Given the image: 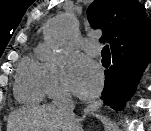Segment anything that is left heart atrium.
Listing matches in <instances>:
<instances>
[{
	"label": "left heart atrium",
	"instance_id": "39dd6f15",
	"mask_svg": "<svg viewBox=\"0 0 151 131\" xmlns=\"http://www.w3.org/2000/svg\"><path fill=\"white\" fill-rule=\"evenodd\" d=\"M103 73L100 67L85 56L73 58L71 65V87L83 99L94 97L101 89Z\"/></svg>",
	"mask_w": 151,
	"mask_h": 131
}]
</instances>
